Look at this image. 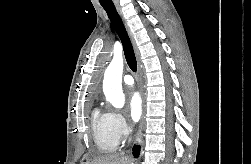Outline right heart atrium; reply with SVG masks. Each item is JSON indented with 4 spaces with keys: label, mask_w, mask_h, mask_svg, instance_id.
<instances>
[{
    "label": "right heart atrium",
    "mask_w": 251,
    "mask_h": 164,
    "mask_svg": "<svg viewBox=\"0 0 251 164\" xmlns=\"http://www.w3.org/2000/svg\"><path fill=\"white\" fill-rule=\"evenodd\" d=\"M112 129L118 139L124 138L129 130L128 123L120 113H110Z\"/></svg>",
    "instance_id": "d8ad5b80"
}]
</instances>
